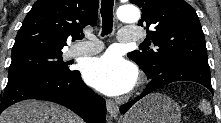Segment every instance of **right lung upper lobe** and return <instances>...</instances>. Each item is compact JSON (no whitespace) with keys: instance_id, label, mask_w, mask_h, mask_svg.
Returning <instances> with one entry per match:
<instances>
[{"instance_id":"1","label":"right lung upper lobe","mask_w":221,"mask_h":123,"mask_svg":"<svg viewBox=\"0 0 221 123\" xmlns=\"http://www.w3.org/2000/svg\"><path fill=\"white\" fill-rule=\"evenodd\" d=\"M99 0H37L15 38L13 52L61 51L67 40L82 39V29L97 20Z\"/></svg>"}]
</instances>
